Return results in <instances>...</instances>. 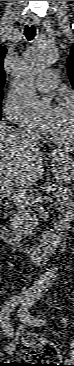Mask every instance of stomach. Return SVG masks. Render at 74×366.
I'll return each mask as SVG.
<instances>
[{"instance_id": "1", "label": "stomach", "mask_w": 74, "mask_h": 366, "mask_svg": "<svg viewBox=\"0 0 74 366\" xmlns=\"http://www.w3.org/2000/svg\"><path fill=\"white\" fill-rule=\"evenodd\" d=\"M53 173L57 180L64 183H71L74 180V159L57 152L53 158Z\"/></svg>"}]
</instances>
